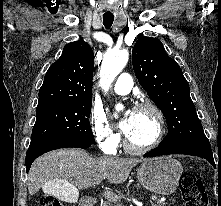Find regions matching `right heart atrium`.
Segmentation results:
<instances>
[{
	"label": "right heart atrium",
	"mask_w": 221,
	"mask_h": 206,
	"mask_svg": "<svg viewBox=\"0 0 221 206\" xmlns=\"http://www.w3.org/2000/svg\"><path fill=\"white\" fill-rule=\"evenodd\" d=\"M90 126L95 141L105 153H114L119 135L109 124L105 113L100 109H92L90 114Z\"/></svg>",
	"instance_id": "obj_1"
}]
</instances>
